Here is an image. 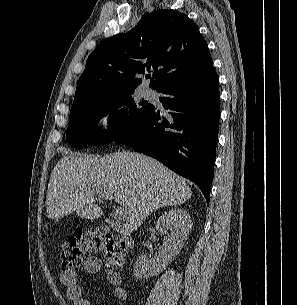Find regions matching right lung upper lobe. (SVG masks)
Returning a JSON list of instances; mask_svg holds the SVG:
<instances>
[{
  "mask_svg": "<svg viewBox=\"0 0 297 305\" xmlns=\"http://www.w3.org/2000/svg\"><path fill=\"white\" fill-rule=\"evenodd\" d=\"M213 67L206 41L187 15L156 10L125 34L101 42L89 55L74 103L135 91L137 75L154 69L150 87L168 85L206 74Z\"/></svg>",
  "mask_w": 297,
  "mask_h": 305,
  "instance_id": "cb5924a9",
  "label": "right lung upper lobe"
}]
</instances>
